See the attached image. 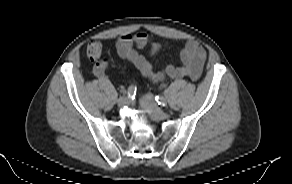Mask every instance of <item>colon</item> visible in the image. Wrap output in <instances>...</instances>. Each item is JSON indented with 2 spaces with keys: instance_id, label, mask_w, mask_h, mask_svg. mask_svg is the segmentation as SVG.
<instances>
[{
  "instance_id": "obj_1",
  "label": "colon",
  "mask_w": 292,
  "mask_h": 184,
  "mask_svg": "<svg viewBox=\"0 0 292 184\" xmlns=\"http://www.w3.org/2000/svg\"><path fill=\"white\" fill-rule=\"evenodd\" d=\"M102 44L98 41L91 42L87 47V56L91 60H97L102 54Z\"/></svg>"
}]
</instances>
